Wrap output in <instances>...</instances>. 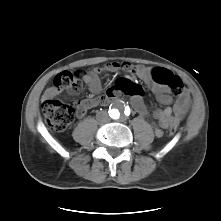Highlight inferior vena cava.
Segmentation results:
<instances>
[{
    "mask_svg": "<svg viewBox=\"0 0 221 221\" xmlns=\"http://www.w3.org/2000/svg\"><path fill=\"white\" fill-rule=\"evenodd\" d=\"M97 119L102 122H109L110 121L108 114L105 112H100L99 114H97Z\"/></svg>",
    "mask_w": 221,
    "mask_h": 221,
    "instance_id": "inferior-vena-cava-1",
    "label": "inferior vena cava"
}]
</instances>
